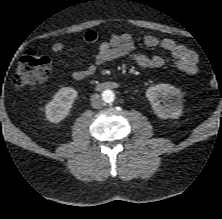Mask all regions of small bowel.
I'll list each match as a JSON object with an SVG mask.
<instances>
[{
    "instance_id": "small-bowel-1",
    "label": "small bowel",
    "mask_w": 222,
    "mask_h": 219,
    "mask_svg": "<svg viewBox=\"0 0 222 219\" xmlns=\"http://www.w3.org/2000/svg\"><path fill=\"white\" fill-rule=\"evenodd\" d=\"M84 40L89 44H95L98 42V34L92 30L87 31L84 34ZM143 40L144 44L149 48L158 47L170 53L174 59V65L179 71L188 75H194L198 72L197 54L193 50L172 39H159L155 35H146ZM51 50L54 54H59L64 50V44L55 42ZM120 58H126L142 69L160 68L165 63L161 55L148 56L138 51L131 34H113L107 41L98 44L95 65H90L85 69L74 70L71 75L75 80H84L95 74L97 65Z\"/></svg>"
}]
</instances>
